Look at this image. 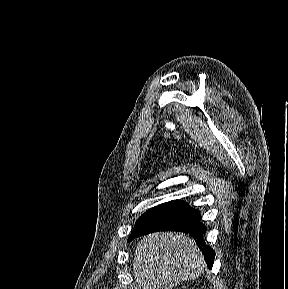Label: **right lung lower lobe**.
<instances>
[{
  "mask_svg": "<svg viewBox=\"0 0 288 289\" xmlns=\"http://www.w3.org/2000/svg\"><path fill=\"white\" fill-rule=\"evenodd\" d=\"M164 230L180 231L193 236L204 254L208 267H212L215 251L210 246H207L203 239L206 227L200 222V212L199 210L191 208L185 201L179 202L168 212L156 218L128 241L148 233Z\"/></svg>",
  "mask_w": 288,
  "mask_h": 289,
  "instance_id": "1",
  "label": "right lung lower lobe"
}]
</instances>
